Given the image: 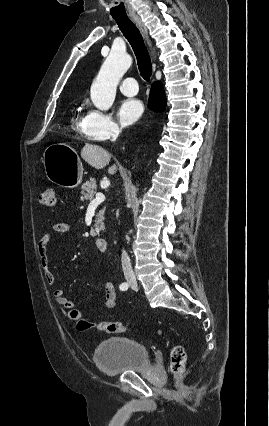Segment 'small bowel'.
<instances>
[{
    "label": "small bowel",
    "instance_id": "small-bowel-1",
    "mask_svg": "<svg viewBox=\"0 0 269 426\" xmlns=\"http://www.w3.org/2000/svg\"><path fill=\"white\" fill-rule=\"evenodd\" d=\"M68 230H69L68 224L64 222H57L52 226V229L49 232L45 233L40 238L37 244L40 264L44 271L45 279L50 285H55L56 278L49 269L50 262L48 257V244L54 238L66 234ZM53 296L58 306L64 309H71L73 307V302L65 296L62 289L55 288L53 290ZM102 304L105 309H112L115 307L116 290H115L114 284L110 280H105L104 282V297H103Z\"/></svg>",
    "mask_w": 269,
    "mask_h": 426
}]
</instances>
